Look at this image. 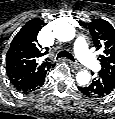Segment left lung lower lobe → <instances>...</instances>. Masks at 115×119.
Listing matches in <instances>:
<instances>
[{
  "label": "left lung lower lobe",
  "mask_w": 115,
  "mask_h": 119,
  "mask_svg": "<svg viewBox=\"0 0 115 119\" xmlns=\"http://www.w3.org/2000/svg\"><path fill=\"white\" fill-rule=\"evenodd\" d=\"M78 89L90 98H103L115 91V79L99 73L97 79L92 81L90 85H84Z\"/></svg>",
  "instance_id": "left-lung-lower-lobe-1"
}]
</instances>
